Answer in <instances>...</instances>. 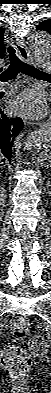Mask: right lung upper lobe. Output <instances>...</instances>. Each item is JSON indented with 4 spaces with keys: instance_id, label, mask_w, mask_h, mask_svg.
Returning a JSON list of instances; mask_svg holds the SVG:
<instances>
[{
    "instance_id": "cb5924a9",
    "label": "right lung upper lobe",
    "mask_w": 51,
    "mask_h": 393,
    "mask_svg": "<svg viewBox=\"0 0 51 393\" xmlns=\"http://www.w3.org/2000/svg\"><path fill=\"white\" fill-rule=\"evenodd\" d=\"M4 29L0 27V59L4 57L5 47H4ZM2 68H0V71Z\"/></svg>"
}]
</instances>
